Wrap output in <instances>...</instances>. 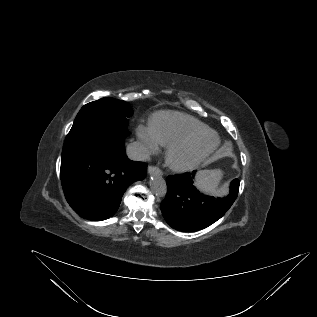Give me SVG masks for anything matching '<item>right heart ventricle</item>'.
<instances>
[{
	"mask_svg": "<svg viewBox=\"0 0 317 317\" xmlns=\"http://www.w3.org/2000/svg\"><path fill=\"white\" fill-rule=\"evenodd\" d=\"M151 131L162 147H168L174 141L192 133L204 131L206 125L196 118L173 111L154 113L149 119Z\"/></svg>",
	"mask_w": 317,
	"mask_h": 317,
	"instance_id": "right-heart-ventricle-1",
	"label": "right heart ventricle"
}]
</instances>
